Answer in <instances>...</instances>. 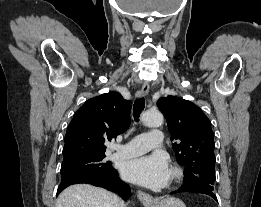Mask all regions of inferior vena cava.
I'll return each mask as SVG.
<instances>
[{"instance_id":"602c4592","label":"inferior vena cava","mask_w":261,"mask_h":207,"mask_svg":"<svg viewBox=\"0 0 261 207\" xmlns=\"http://www.w3.org/2000/svg\"><path fill=\"white\" fill-rule=\"evenodd\" d=\"M120 207H126V204L123 201H121L120 202Z\"/></svg>"}]
</instances>
